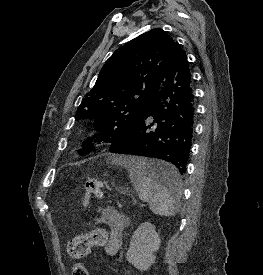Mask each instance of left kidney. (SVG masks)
Here are the masks:
<instances>
[{
    "instance_id": "1",
    "label": "left kidney",
    "mask_w": 263,
    "mask_h": 275,
    "mask_svg": "<svg viewBox=\"0 0 263 275\" xmlns=\"http://www.w3.org/2000/svg\"><path fill=\"white\" fill-rule=\"evenodd\" d=\"M160 238L155 226L149 222L142 223L133 233L127 251V261L136 269L147 271L155 262L154 253L159 249Z\"/></svg>"
}]
</instances>
